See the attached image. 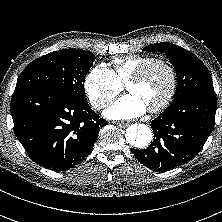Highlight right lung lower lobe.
I'll return each mask as SVG.
<instances>
[{
    "label": "right lung lower lobe",
    "instance_id": "right-lung-lower-lobe-1",
    "mask_svg": "<svg viewBox=\"0 0 222 222\" xmlns=\"http://www.w3.org/2000/svg\"><path fill=\"white\" fill-rule=\"evenodd\" d=\"M14 132L35 163L64 171L93 149L107 124L87 101L44 89H17L11 100Z\"/></svg>",
    "mask_w": 222,
    "mask_h": 222
}]
</instances>
